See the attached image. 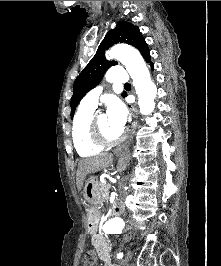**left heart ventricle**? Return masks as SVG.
Returning <instances> with one entry per match:
<instances>
[{"mask_svg": "<svg viewBox=\"0 0 221 266\" xmlns=\"http://www.w3.org/2000/svg\"><path fill=\"white\" fill-rule=\"evenodd\" d=\"M97 119L103 134L109 139L116 138L122 131L113 126L104 113H99Z\"/></svg>", "mask_w": 221, "mask_h": 266, "instance_id": "b2bd125f", "label": "left heart ventricle"}]
</instances>
